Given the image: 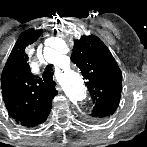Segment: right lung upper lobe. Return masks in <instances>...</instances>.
<instances>
[{
    "label": "right lung upper lobe",
    "mask_w": 147,
    "mask_h": 147,
    "mask_svg": "<svg viewBox=\"0 0 147 147\" xmlns=\"http://www.w3.org/2000/svg\"><path fill=\"white\" fill-rule=\"evenodd\" d=\"M41 30H27L17 40L2 72L1 84L4 102L9 114L26 127H35L46 121L53 97L54 85L46 84L30 72L25 47L40 36Z\"/></svg>",
    "instance_id": "right-lung-upper-lobe-1"
}]
</instances>
